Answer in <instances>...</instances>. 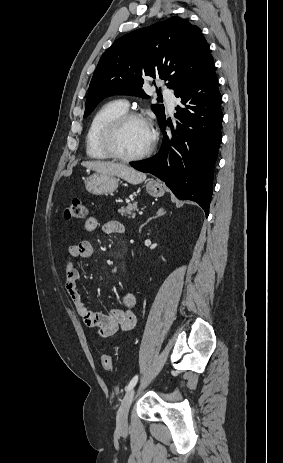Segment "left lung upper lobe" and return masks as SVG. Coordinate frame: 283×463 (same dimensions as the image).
Instances as JSON below:
<instances>
[{
  "label": "left lung upper lobe",
  "instance_id": "obj_1",
  "mask_svg": "<svg viewBox=\"0 0 283 463\" xmlns=\"http://www.w3.org/2000/svg\"><path fill=\"white\" fill-rule=\"evenodd\" d=\"M213 64L200 29L188 20L171 17L116 40L102 55L89 85L84 117L105 97L115 94L146 96L149 77L168 80L174 90L203 75ZM160 125L164 106H151Z\"/></svg>",
  "mask_w": 283,
  "mask_h": 463
}]
</instances>
